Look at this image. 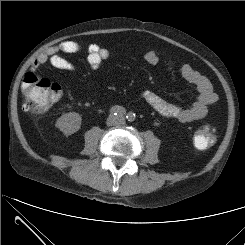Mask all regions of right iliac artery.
<instances>
[{
    "label": "right iliac artery",
    "mask_w": 245,
    "mask_h": 245,
    "mask_svg": "<svg viewBox=\"0 0 245 245\" xmlns=\"http://www.w3.org/2000/svg\"><path fill=\"white\" fill-rule=\"evenodd\" d=\"M110 113L113 115H125L126 110L121 106H114L110 109Z\"/></svg>",
    "instance_id": "obj_1"
}]
</instances>
